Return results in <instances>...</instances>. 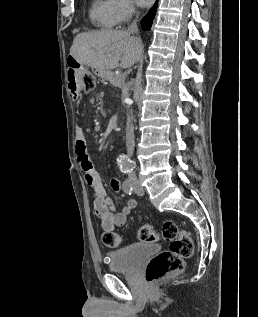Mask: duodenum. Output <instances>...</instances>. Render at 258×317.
Masks as SVG:
<instances>
[{
    "label": "duodenum",
    "instance_id": "duodenum-1",
    "mask_svg": "<svg viewBox=\"0 0 258 317\" xmlns=\"http://www.w3.org/2000/svg\"><path fill=\"white\" fill-rule=\"evenodd\" d=\"M66 83L68 90L74 99H78L82 93V76L77 67L70 66L66 73Z\"/></svg>",
    "mask_w": 258,
    "mask_h": 317
}]
</instances>
